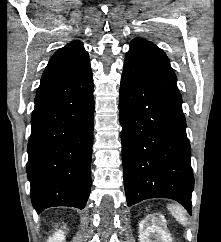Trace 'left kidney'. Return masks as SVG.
I'll use <instances>...</instances> for the list:
<instances>
[{
  "mask_svg": "<svg viewBox=\"0 0 221 242\" xmlns=\"http://www.w3.org/2000/svg\"><path fill=\"white\" fill-rule=\"evenodd\" d=\"M140 242H172L167 221L160 213L148 215L139 223Z\"/></svg>",
  "mask_w": 221,
  "mask_h": 242,
  "instance_id": "1",
  "label": "left kidney"
}]
</instances>
